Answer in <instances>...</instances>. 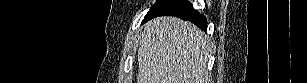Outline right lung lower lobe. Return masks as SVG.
I'll return each instance as SVG.
<instances>
[{"label": "right lung lower lobe", "mask_w": 307, "mask_h": 83, "mask_svg": "<svg viewBox=\"0 0 307 83\" xmlns=\"http://www.w3.org/2000/svg\"><path fill=\"white\" fill-rule=\"evenodd\" d=\"M162 15H172L189 20L202 30L207 29V21L186 0H162L158 1L144 18L146 22L152 18Z\"/></svg>", "instance_id": "1"}]
</instances>
